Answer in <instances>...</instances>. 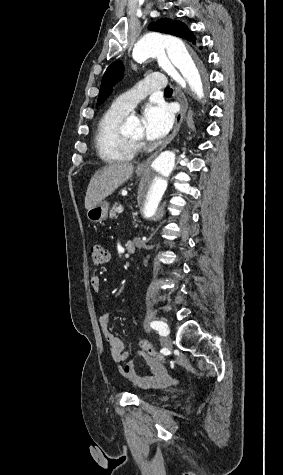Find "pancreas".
<instances>
[{
	"label": "pancreas",
	"instance_id": "cf45deb5",
	"mask_svg": "<svg viewBox=\"0 0 283 475\" xmlns=\"http://www.w3.org/2000/svg\"><path fill=\"white\" fill-rule=\"evenodd\" d=\"M121 204H119V202H115V204H113L111 210H110V214H109V218H115L116 216V212H118L117 208H120Z\"/></svg>",
	"mask_w": 283,
	"mask_h": 475
}]
</instances>
